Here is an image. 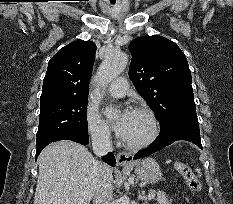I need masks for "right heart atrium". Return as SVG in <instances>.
<instances>
[{
	"instance_id": "d8ad5b80",
	"label": "right heart atrium",
	"mask_w": 233,
	"mask_h": 204,
	"mask_svg": "<svg viewBox=\"0 0 233 204\" xmlns=\"http://www.w3.org/2000/svg\"><path fill=\"white\" fill-rule=\"evenodd\" d=\"M85 119L87 132L91 140L97 145H108L111 141V131L98 112L94 108L88 107Z\"/></svg>"
}]
</instances>
